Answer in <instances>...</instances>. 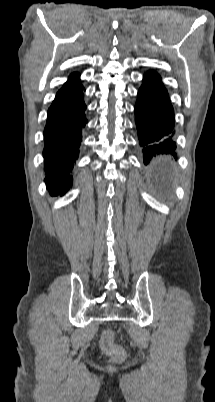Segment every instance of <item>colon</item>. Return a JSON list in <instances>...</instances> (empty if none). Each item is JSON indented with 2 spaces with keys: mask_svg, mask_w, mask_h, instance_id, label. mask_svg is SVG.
I'll use <instances>...</instances> for the list:
<instances>
[{
  "mask_svg": "<svg viewBox=\"0 0 215 402\" xmlns=\"http://www.w3.org/2000/svg\"><path fill=\"white\" fill-rule=\"evenodd\" d=\"M100 345L102 350L113 359L121 361L125 358L124 349L115 342L114 332L111 329H106L100 337Z\"/></svg>",
  "mask_w": 215,
  "mask_h": 402,
  "instance_id": "1",
  "label": "colon"
}]
</instances>
